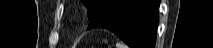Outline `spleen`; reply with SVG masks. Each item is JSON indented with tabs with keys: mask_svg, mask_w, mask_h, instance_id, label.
Listing matches in <instances>:
<instances>
[{
	"mask_svg": "<svg viewBox=\"0 0 213 48\" xmlns=\"http://www.w3.org/2000/svg\"><path fill=\"white\" fill-rule=\"evenodd\" d=\"M116 48H128L124 43L117 42L116 43Z\"/></svg>",
	"mask_w": 213,
	"mask_h": 48,
	"instance_id": "obj_1",
	"label": "spleen"
}]
</instances>
